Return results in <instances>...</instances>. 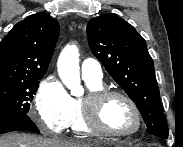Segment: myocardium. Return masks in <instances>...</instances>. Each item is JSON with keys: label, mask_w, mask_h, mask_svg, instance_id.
I'll return each mask as SVG.
<instances>
[{"label": "myocardium", "mask_w": 183, "mask_h": 147, "mask_svg": "<svg viewBox=\"0 0 183 147\" xmlns=\"http://www.w3.org/2000/svg\"><path fill=\"white\" fill-rule=\"evenodd\" d=\"M112 97H120L130 105L137 120V127L135 130L131 132H118L105 125L101 117V107L106 100ZM83 105L85 121L89 128L95 133L113 137L130 138L138 135L143 128V118L137 104L124 92L106 88L92 91L83 99Z\"/></svg>", "instance_id": "f54148a6"}]
</instances>
